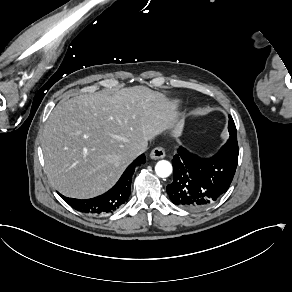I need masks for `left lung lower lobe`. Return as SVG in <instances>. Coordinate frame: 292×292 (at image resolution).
Here are the masks:
<instances>
[{"instance_id":"obj_1","label":"left lung lower lobe","mask_w":292,"mask_h":292,"mask_svg":"<svg viewBox=\"0 0 292 292\" xmlns=\"http://www.w3.org/2000/svg\"><path fill=\"white\" fill-rule=\"evenodd\" d=\"M238 154V148L224 145L214 156L201 158L179 147L172 159L173 182L167 185L170 200L188 210L214 204L233 180Z\"/></svg>"}]
</instances>
